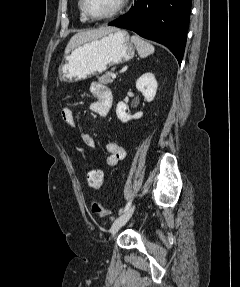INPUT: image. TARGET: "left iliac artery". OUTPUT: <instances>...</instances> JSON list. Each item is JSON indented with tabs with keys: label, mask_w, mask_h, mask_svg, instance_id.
I'll return each instance as SVG.
<instances>
[{
	"label": "left iliac artery",
	"mask_w": 240,
	"mask_h": 287,
	"mask_svg": "<svg viewBox=\"0 0 240 287\" xmlns=\"http://www.w3.org/2000/svg\"><path fill=\"white\" fill-rule=\"evenodd\" d=\"M131 206V200L128 201V203L126 204V206L124 207V209L122 210V213L123 212H126Z\"/></svg>",
	"instance_id": "1"
}]
</instances>
